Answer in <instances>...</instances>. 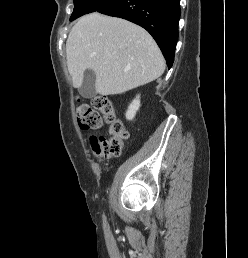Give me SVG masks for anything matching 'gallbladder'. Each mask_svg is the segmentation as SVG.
Returning <instances> with one entry per match:
<instances>
[{
    "mask_svg": "<svg viewBox=\"0 0 248 258\" xmlns=\"http://www.w3.org/2000/svg\"><path fill=\"white\" fill-rule=\"evenodd\" d=\"M96 74L91 69H86L83 75V83L79 89L84 98H91L95 94Z\"/></svg>",
    "mask_w": 248,
    "mask_h": 258,
    "instance_id": "1",
    "label": "gallbladder"
}]
</instances>
